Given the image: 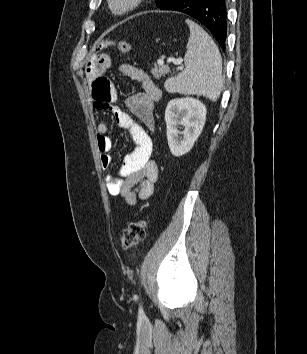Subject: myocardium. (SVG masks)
Returning <instances> with one entry per match:
<instances>
[{
  "instance_id": "1",
  "label": "myocardium",
  "mask_w": 307,
  "mask_h": 354,
  "mask_svg": "<svg viewBox=\"0 0 307 354\" xmlns=\"http://www.w3.org/2000/svg\"><path fill=\"white\" fill-rule=\"evenodd\" d=\"M110 11L117 16H122L134 11L144 0H107Z\"/></svg>"
}]
</instances>
